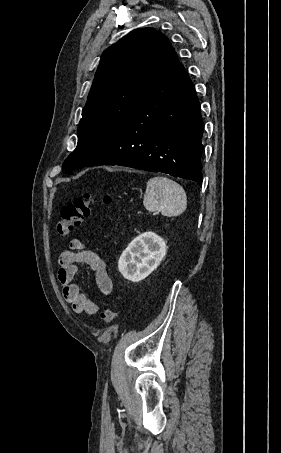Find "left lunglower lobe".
<instances>
[{
    "label": "left lung lower lobe",
    "instance_id": "1",
    "mask_svg": "<svg viewBox=\"0 0 281 453\" xmlns=\"http://www.w3.org/2000/svg\"><path fill=\"white\" fill-rule=\"evenodd\" d=\"M200 104L174 50L135 110L85 167L120 165L168 173L201 185Z\"/></svg>",
    "mask_w": 281,
    "mask_h": 453
}]
</instances>
